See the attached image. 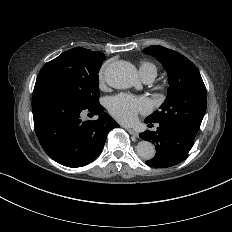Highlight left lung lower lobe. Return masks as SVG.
Here are the masks:
<instances>
[{
	"mask_svg": "<svg viewBox=\"0 0 232 232\" xmlns=\"http://www.w3.org/2000/svg\"><path fill=\"white\" fill-rule=\"evenodd\" d=\"M145 123L152 122L145 119ZM139 137L155 144L154 158L145 163L156 168L171 167L184 161L188 157L195 139L180 128L165 123H159L155 132L147 130L140 133Z\"/></svg>",
	"mask_w": 232,
	"mask_h": 232,
	"instance_id": "1",
	"label": "left lung lower lobe"
}]
</instances>
